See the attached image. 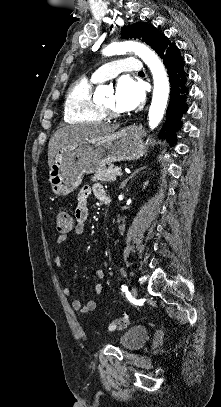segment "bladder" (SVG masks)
Here are the masks:
<instances>
[{"instance_id": "1", "label": "bladder", "mask_w": 221, "mask_h": 407, "mask_svg": "<svg viewBox=\"0 0 221 407\" xmlns=\"http://www.w3.org/2000/svg\"><path fill=\"white\" fill-rule=\"evenodd\" d=\"M149 330L147 327L133 326L119 335L122 347L128 351H135L142 348L148 339Z\"/></svg>"}]
</instances>
